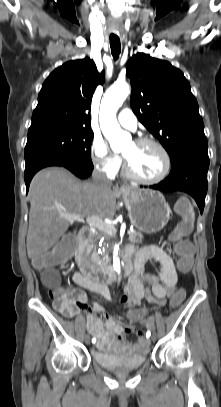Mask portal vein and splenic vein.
I'll return each instance as SVG.
<instances>
[{"mask_svg": "<svg viewBox=\"0 0 221 407\" xmlns=\"http://www.w3.org/2000/svg\"><path fill=\"white\" fill-rule=\"evenodd\" d=\"M63 217L70 220L71 222L83 220V218L79 214L63 215ZM86 222L90 226L95 227L100 231H104L107 234L111 235V234L116 233V229L112 224L103 221L101 218H99L97 216H88V217H86ZM130 232L131 231H128V234Z\"/></svg>", "mask_w": 221, "mask_h": 407, "instance_id": "portal-vein-and-splenic-vein-1", "label": "portal vein and splenic vein"}]
</instances>
